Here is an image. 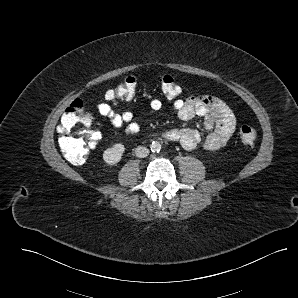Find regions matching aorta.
Masks as SVG:
<instances>
[{"label":"aorta","instance_id":"762f6f07","mask_svg":"<svg viewBox=\"0 0 298 298\" xmlns=\"http://www.w3.org/2000/svg\"><path fill=\"white\" fill-rule=\"evenodd\" d=\"M150 150L153 153H158L161 150V144L158 141H152L150 144Z\"/></svg>","mask_w":298,"mask_h":298}]
</instances>
